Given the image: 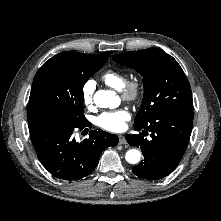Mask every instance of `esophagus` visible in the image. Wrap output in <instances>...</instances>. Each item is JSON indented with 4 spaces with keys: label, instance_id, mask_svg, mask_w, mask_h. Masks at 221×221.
<instances>
[{
    "label": "esophagus",
    "instance_id": "34e87169",
    "mask_svg": "<svg viewBox=\"0 0 221 221\" xmlns=\"http://www.w3.org/2000/svg\"><path fill=\"white\" fill-rule=\"evenodd\" d=\"M118 137H119V144H120V145H123V144H126V143H127V142H126V139H125V136L119 135Z\"/></svg>",
    "mask_w": 221,
    "mask_h": 221
}]
</instances>
